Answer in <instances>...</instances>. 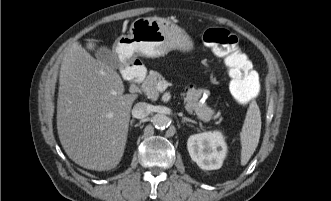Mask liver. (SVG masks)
Instances as JSON below:
<instances>
[{
    "instance_id": "liver-1",
    "label": "liver",
    "mask_w": 331,
    "mask_h": 201,
    "mask_svg": "<svg viewBox=\"0 0 331 201\" xmlns=\"http://www.w3.org/2000/svg\"><path fill=\"white\" fill-rule=\"evenodd\" d=\"M57 130L68 157L96 171L115 168L124 153L136 94H123L120 75L73 44L63 56Z\"/></svg>"
}]
</instances>
